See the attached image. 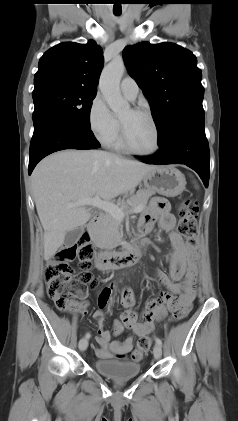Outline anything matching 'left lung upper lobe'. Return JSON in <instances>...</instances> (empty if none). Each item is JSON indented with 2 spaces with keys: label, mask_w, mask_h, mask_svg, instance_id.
Here are the masks:
<instances>
[{
  "label": "left lung upper lobe",
  "mask_w": 238,
  "mask_h": 421,
  "mask_svg": "<svg viewBox=\"0 0 238 421\" xmlns=\"http://www.w3.org/2000/svg\"><path fill=\"white\" fill-rule=\"evenodd\" d=\"M123 57L150 103L158 142L185 119L204 116L202 74L189 50L173 43L143 42L126 46Z\"/></svg>",
  "instance_id": "left-lung-upper-lobe-1"
}]
</instances>
